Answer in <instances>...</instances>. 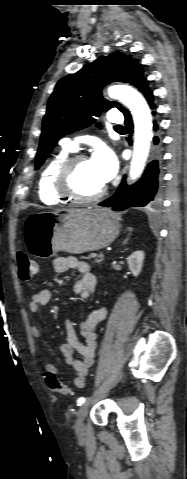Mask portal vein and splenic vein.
<instances>
[{
  "label": "portal vein and splenic vein",
  "instance_id": "portal-vein-and-splenic-vein-1",
  "mask_svg": "<svg viewBox=\"0 0 187 479\" xmlns=\"http://www.w3.org/2000/svg\"><path fill=\"white\" fill-rule=\"evenodd\" d=\"M99 256L102 257V258H104V254H103V253H100Z\"/></svg>",
  "mask_w": 187,
  "mask_h": 479
}]
</instances>
